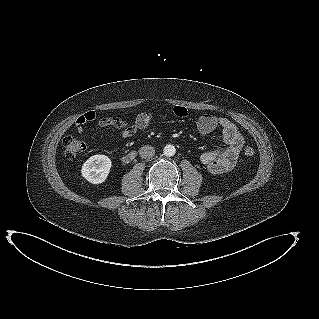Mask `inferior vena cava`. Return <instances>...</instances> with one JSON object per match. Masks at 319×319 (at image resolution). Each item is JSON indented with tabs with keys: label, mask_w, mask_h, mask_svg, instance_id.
<instances>
[{
	"label": "inferior vena cava",
	"mask_w": 319,
	"mask_h": 319,
	"mask_svg": "<svg viewBox=\"0 0 319 319\" xmlns=\"http://www.w3.org/2000/svg\"><path fill=\"white\" fill-rule=\"evenodd\" d=\"M139 154L142 158H151L155 154V149L152 146L146 145L140 148Z\"/></svg>",
	"instance_id": "obj_1"
}]
</instances>
